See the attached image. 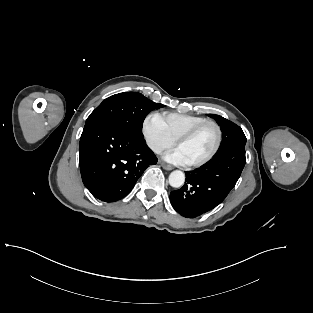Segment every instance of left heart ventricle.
<instances>
[{
	"label": "left heart ventricle",
	"mask_w": 313,
	"mask_h": 313,
	"mask_svg": "<svg viewBox=\"0 0 313 313\" xmlns=\"http://www.w3.org/2000/svg\"><path fill=\"white\" fill-rule=\"evenodd\" d=\"M216 130L209 125L199 131L190 140L179 144L180 148L189 162H196L206 157L214 148L216 143Z\"/></svg>",
	"instance_id": "b2bd125f"
}]
</instances>
